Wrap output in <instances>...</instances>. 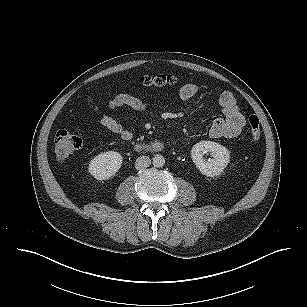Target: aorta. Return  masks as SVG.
Here are the masks:
<instances>
[{"instance_id": "1", "label": "aorta", "mask_w": 307, "mask_h": 307, "mask_svg": "<svg viewBox=\"0 0 307 307\" xmlns=\"http://www.w3.org/2000/svg\"><path fill=\"white\" fill-rule=\"evenodd\" d=\"M152 164L157 168H161L165 164V158L162 155H155L152 159Z\"/></svg>"}]
</instances>
